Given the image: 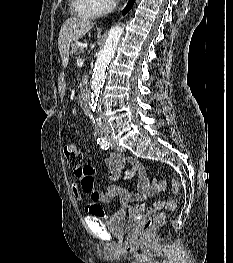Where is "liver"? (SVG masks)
<instances>
[{
    "instance_id": "6515ba94",
    "label": "liver",
    "mask_w": 233,
    "mask_h": 263,
    "mask_svg": "<svg viewBox=\"0 0 233 263\" xmlns=\"http://www.w3.org/2000/svg\"><path fill=\"white\" fill-rule=\"evenodd\" d=\"M93 26V22L84 18L72 17L65 20L58 38V48L64 68L69 62L70 43L82 38Z\"/></svg>"
}]
</instances>
